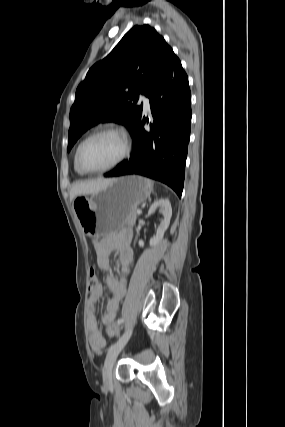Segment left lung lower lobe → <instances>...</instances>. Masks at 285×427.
Segmentation results:
<instances>
[{
	"label": "left lung lower lobe",
	"mask_w": 285,
	"mask_h": 427,
	"mask_svg": "<svg viewBox=\"0 0 285 427\" xmlns=\"http://www.w3.org/2000/svg\"><path fill=\"white\" fill-rule=\"evenodd\" d=\"M146 96L154 118L150 129H144L145 118L141 117L132 133V156L104 176L143 175L167 184L181 197L190 136L191 94L188 77L173 50Z\"/></svg>",
	"instance_id": "left-lung-lower-lobe-1"
}]
</instances>
